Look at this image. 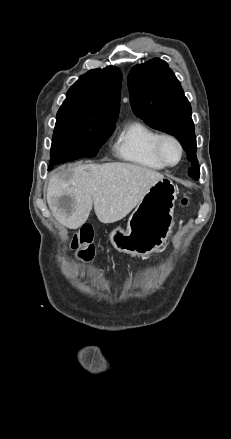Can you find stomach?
<instances>
[{"label": "stomach", "mask_w": 231, "mask_h": 439, "mask_svg": "<svg viewBox=\"0 0 231 439\" xmlns=\"http://www.w3.org/2000/svg\"><path fill=\"white\" fill-rule=\"evenodd\" d=\"M178 189L169 179L154 183L131 214L127 229L109 234L112 246L132 256H148L166 242L174 223Z\"/></svg>", "instance_id": "stomach-1"}]
</instances>
